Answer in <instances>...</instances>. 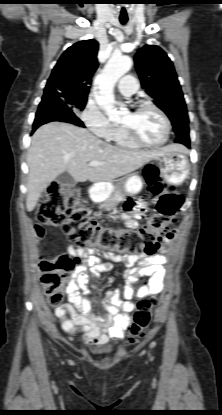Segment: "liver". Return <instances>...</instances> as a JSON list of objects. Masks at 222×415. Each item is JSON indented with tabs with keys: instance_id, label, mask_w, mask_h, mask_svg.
I'll return each mask as SVG.
<instances>
[{
	"instance_id": "1",
	"label": "liver",
	"mask_w": 222,
	"mask_h": 415,
	"mask_svg": "<svg viewBox=\"0 0 222 415\" xmlns=\"http://www.w3.org/2000/svg\"><path fill=\"white\" fill-rule=\"evenodd\" d=\"M172 144L160 149L127 150L112 146L84 128L51 122L39 127L27 154L29 168L26 208L34 210L41 193L63 172L75 181L107 182L131 173L170 151H185ZM103 163L89 166V162Z\"/></svg>"
}]
</instances>
